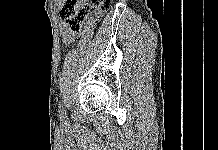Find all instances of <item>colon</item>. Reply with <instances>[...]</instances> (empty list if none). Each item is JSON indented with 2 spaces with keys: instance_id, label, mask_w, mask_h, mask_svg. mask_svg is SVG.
Returning <instances> with one entry per match:
<instances>
[{
  "instance_id": "colon-1",
  "label": "colon",
  "mask_w": 218,
  "mask_h": 150,
  "mask_svg": "<svg viewBox=\"0 0 218 150\" xmlns=\"http://www.w3.org/2000/svg\"><path fill=\"white\" fill-rule=\"evenodd\" d=\"M110 3L111 0H59L58 10L71 32L80 34L88 11L99 12Z\"/></svg>"
}]
</instances>
